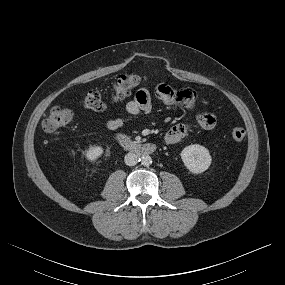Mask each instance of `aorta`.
<instances>
[{
    "label": "aorta",
    "instance_id": "obj_1",
    "mask_svg": "<svg viewBox=\"0 0 285 285\" xmlns=\"http://www.w3.org/2000/svg\"><path fill=\"white\" fill-rule=\"evenodd\" d=\"M140 161L141 164L146 167L152 164V158L149 155L142 156Z\"/></svg>",
    "mask_w": 285,
    "mask_h": 285
}]
</instances>
